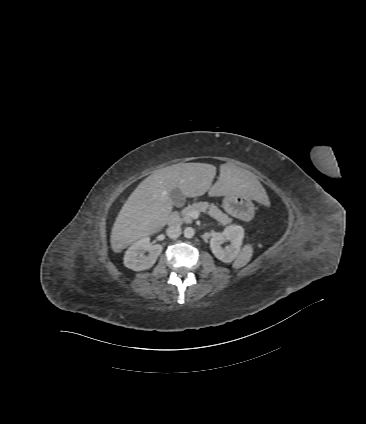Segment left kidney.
<instances>
[{
	"label": "left kidney",
	"instance_id": "1",
	"mask_svg": "<svg viewBox=\"0 0 366 424\" xmlns=\"http://www.w3.org/2000/svg\"><path fill=\"white\" fill-rule=\"evenodd\" d=\"M244 238V229L241 226H228L223 232L217 233L210 239V248L214 256L224 263H230L238 256ZM229 241L230 245H221Z\"/></svg>",
	"mask_w": 366,
	"mask_h": 424
}]
</instances>
